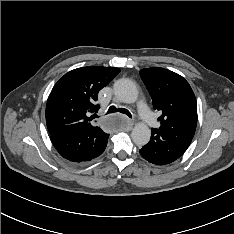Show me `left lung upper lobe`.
<instances>
[{"instance_id": "1", "label": "left lung upper lobe", "mask_w": 234, "mask_h": 234, "mask_svg": "<svg viewBox=\"0 0 234 234\" xmlns=\"http://www.w3.org/2000/svg\"><path fill=\"white\" fill-rule=\"evenodd\" d=\"M140 76L154 109L162 113L161 126L154 130L186 151L197 125V102L189 83L179 74L160 67L142 69Z\"/></svg>"}]
</instances>
